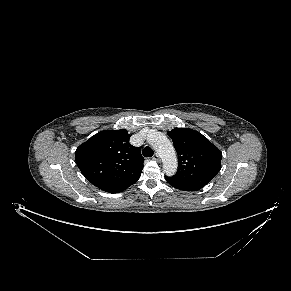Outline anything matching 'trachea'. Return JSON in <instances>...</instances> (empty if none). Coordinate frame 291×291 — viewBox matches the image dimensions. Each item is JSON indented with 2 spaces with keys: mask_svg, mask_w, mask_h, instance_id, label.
I'll return each mask as SVG.
<instances>
[{
  "mask_svg": "<svg viewBox=\"0 0 291 291\" xmlns=\"http://www.w3.org/2000/svg\"><path fill=\"white\" fill-rule=\"evenodd\" d=\"M142 153L144 157H152L154 154L153 150L149 146H146Z\"/></svg>",
  "mask_w": 291,
  "mask_h": 291,
  "instance_id": "trachea-1",
  "label": "trachea"
}]
</instances>
